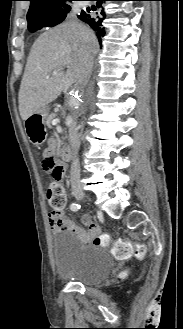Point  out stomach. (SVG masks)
Returning <instances> with one entry per match:
<instances>
[{"label":"stomach","mask_w":183,"mask_h":329,"mask_svg":"<svg viewBox=\"0 0 183 329\" xmlns=\"http://www.w3.org/2000/svg\"><path fill=\"white\" fill-rule=\"evenodd\" d=\"M49 112V108L44 106L37 111L36 115H40L42 118H45Z\"/></svg>","instance_id":"stomach-1"}]
</instances>
